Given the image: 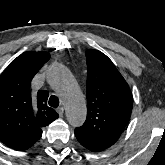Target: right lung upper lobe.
I'll use <instances>...</instances> for the list:
<instances>
[{
    "mask_svg": "<svg viewBox=\"0 0 165 165\" xmlns=\"http://www.w3.org/2000/svg\"><path fill=\"white\" fill-rule=\"evenodd\" d=\"M50 59L47 52H24L0 76V141L15 150H26L42 136V127L58 118L48 107V92H30L34 75Z\"/></svg>",
    "mask_w": 165,
    "mask_h": 165,
    "instance_id": "cb5924a9",
    "label": "right lung upper lobe"
}]
</instances>
